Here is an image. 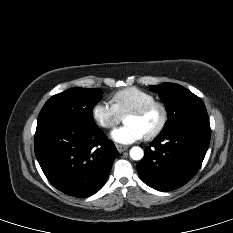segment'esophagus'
<instances>
[{"mask_svg":"<svg viewBox=\"0 0 233 233\" xmlns=\"http://www.w3.org/2000/svg\"><path fill=\"white\" fill-rule=\"evenodd\" d=\"M116 148H117V150H118L119 153H122V152H124L125 150L128 149L127 146L120 145V144H116Z\"/></svg>","mask_w":233,"mask_h":233,"instance_id":"34e87169","label":"esophagus"}]
</instances>
